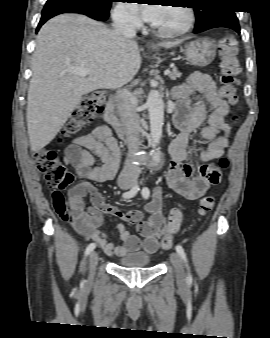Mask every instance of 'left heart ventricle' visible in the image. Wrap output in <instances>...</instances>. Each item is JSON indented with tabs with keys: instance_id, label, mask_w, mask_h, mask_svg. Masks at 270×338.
Returning a JSON list of instances; mask_svg holds the SVG:
<instances>
[{
	"instance_id": "b2bd125f",
	"label": "left heart ventricle",
	"mask_w": 270,
	"mask_h": 338,
	"mask_svg": "<svg viewBox=\"0 0 270 338\" xmlns=\"http://www.w3.org/2000/svg\"><path fill=\"white\" fill-rule=\"evenodd\" d=\"M186 22V13L181 7L164 6L157 20L152 23L156 28L172 31L181 28Z\"/></svg>"
}]
</instances>
